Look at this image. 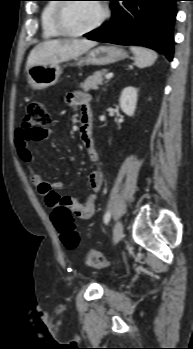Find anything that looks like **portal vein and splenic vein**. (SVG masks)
<instances>
[{
  "label": "portal vein and splenic vein",
  "instance_id": "portal-vein-and-splenic-vein-1",
  "mask_svg": "<svg viewBox=\"0 0 193 349\" xmlns=\"http://www.w3.org/2000/svg\"><path fill=\"white\" fill-rule=\"evenodd\" d=\"M113 77V73H108L107 75H106V79H111Z\"/></svg>",
  "mask_w": 193,
  "mask_h": 349
}]
</instances>
